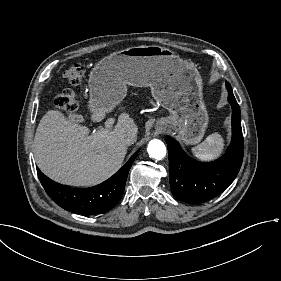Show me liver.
I'll return each instance as SVG.
<instances>
[{
  "label": "liver",
  "mask_w": 281,
  "mask_h": 281,
  "mask_svg": "<svg viewBox=\"0 0 281 281\" xmlns=\"http://www.w3.org/2000/svg\"><path fill=\"white\" fill-rule=\"evenodd\" d=\"M107 109L92 112L100 121ZM137 131L127 113L118 117L115 129L89 135L86 126L76 124L58 111H48L41 118L34 137V155L39 169L55 182L70 186H92L117 172L127 153L119 135Z\"/></svg>",
  "instance_id": "obj_1"
}]
</instances>
